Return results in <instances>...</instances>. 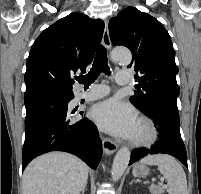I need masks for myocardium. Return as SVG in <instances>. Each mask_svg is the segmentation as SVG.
I'll return each instance as SVG.
<instances>
[{
	"label": "myocardium",
	"mask_w": 201,
	"mask_h": 194,
	"mask_svg": "<svg viewBox=\"0 0 201 194\" xmlns=\"http://www.w3.org/2000/svg\"><path fill=\"white\" fill-rule=\"evenodd\" d=\"M138 125L142 130L141 137H133L131 144L135 147H149L157 139V130L151 120L145 117H141L138 120Z\"/></svg>",
	"instance_id": "f54148a6"
}]
</instances>
